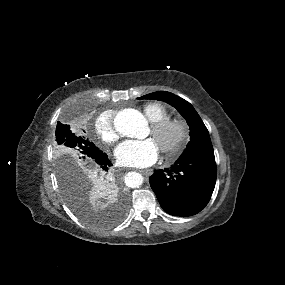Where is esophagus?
<instances>
[{
  "label": "esophagus",
  "instance_id": "esophagus-1",
  "mask_svg": "<svg viewBox=\"0 0 285 285\" xmlns=\"http://www.w3.org/2000/svg\"><path fill=\"white\" fill-rule=\"evenodd\" d=\"M140 172L146 176H150L153 173V170L152 169H143V170H140Z\"/></svg>",
  "mask_w": 285,
  "mask_h": 285
}]
</instances>
